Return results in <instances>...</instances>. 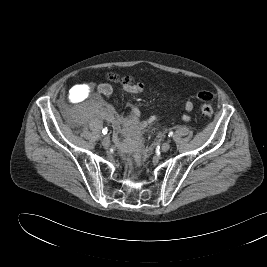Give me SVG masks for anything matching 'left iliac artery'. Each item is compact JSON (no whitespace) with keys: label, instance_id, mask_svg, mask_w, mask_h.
Wrapping results in <instances>:
<instances>
[{"label":"left iliac artery","instance_id":"obj_1","mask_svg":"<svg viewBox=\"0 0 267 267\" xmlns=\"http://www.w3.org/2000/svg\"><path fill=\"white\" fill-rule=\"evenodd\" d=\"M169 137L173 136V132L170 131L169 134H168Z\"/></svg>","mask_w":267,"mask_h":267}]
</instances>
